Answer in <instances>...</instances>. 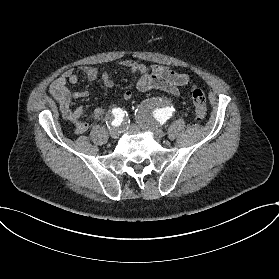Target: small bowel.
Returning <instances> with one entry per match:
<instances>
[{
    "instance_id": "c3829d8e",
    "label": "small bowel",
    "mask_w": 279,
    "mask_h": 279,
    "mask_svg": "<svg viewBox=\"0 0 279 279\" xmlns=\"http://www.w3.org/2000/svg\"><path fill=\"white\" fill-rule=\"evenodd\" d=\"M120 65L140 75L137 86L143 92L159 90L177 96L180 88L185 87L189 83L188 74L175 72L163 65H146L132 59L123 60L120 62ZM80 71L90 81H94L100 77L107 88L114 86L111 75L106 71L99 74L96 68L90 66H82L80 67ZM78 81L79 77L74 70L68 69L51 84L49 92L58 102L63 118L73 126L75 133L80 135L88 130L89 124L84 116L83 110L80 108L73 109L71 107V101L72 99L87 97L88 92L79 91L71 94L67 87L68 84H76ZM122 97L128 102L132 99V92L124 90ZM104 112V109L96 108L89 113L88 118L98 119Z\"/></svg>"
}]
</instances>
